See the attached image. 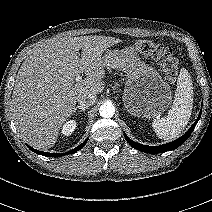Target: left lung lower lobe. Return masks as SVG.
<instances>
[{
    "label": "left lung lower lobe",
    "instance_id": "left-lung-lower-lobe-1",
    "mask_svg": "<svg viewBox=\"0 0 212 212\" xmlns=\"http://www.w3.org/2000/svg\"><path fill=\"white\" fill-rule=\"evenodd\" d=\"M200 116H201V112L199 113L198 118L195 121V123L191 126V128L184 135H182L180 138H178L177 140H175L173 142L163 144L160 146H145V145L138 144V143L132 141L131 139H129L126 136V134H124V136H125V139L127 140V142L133 148H135L139 151H142V152H146V153H150V154H157V153L171 151V150L178 148L181 144H183L189 138V136L192 133V131L194 130L198 120L200 119Z\"/></svg>",
    "mask_w": 212,
    "mask_h": 212
}]
</instances>
